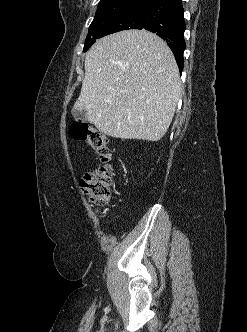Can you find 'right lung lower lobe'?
I'll return each mask as SVG.
<instances>
[{"mask_svg": "<svg viewBox=\"0 0 247 332\" xmlns=\"http://www.w3.org/2000/svg\"><path fill=\"white\" fill-rule=\"evenodd\" d=\"M185 28L181 0H148L110 24L101 37L129 29H145L156 33L167 42L182 72L186 47Z\"/></svg>", "mask_w": 247, "mask_h": 332, "instance_id": "1", "label": "right lung lower lobe"}]
</instances>
